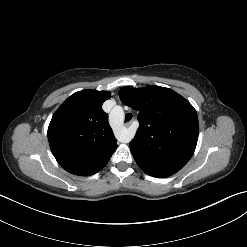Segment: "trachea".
<instances>
[{"instance_id":"1","label":"trachea","mask_w":247,"mask_h":247,"mask_svg":"<svg viewBox=\"0 0 247 247\" xmlns=\"http://www.w3.org/2000/svg\"><path fill=\"white\" fill-rule=\"evenodd\" d=\"M132 119V114L131 113H127L126 115H125V122H128V121H130Z\"/></svg>"}]
</instances>
